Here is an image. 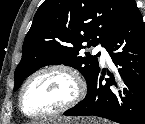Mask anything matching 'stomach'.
<instances>
[{
  "instance_id": "stomach-1",
  "label": "stomach",
  "mask_w": 145,
  "mask_h": 124,
  "mask_svg": "<svg viewBox=\"0 0 145 124\" xmlns=\"http://www.w3.org/2000/svg\"><path fill=\"white\" fill-rule=\"evenodd\" d=\"M43 124H106V123H102V121L91 118L85 119L57 118L46 121Z\"/></svg>"
}]
</instances>
